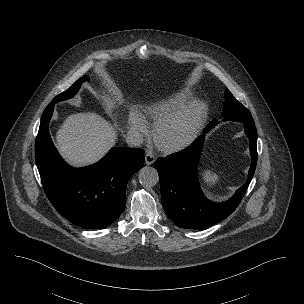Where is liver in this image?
I'll use <instances>...</instances> for the list:
<instances>
[{"label": "liver", "instance_id": "1", "mask_svg": "<svg viewBox=\"0 0 304 304\" xmlns=\"http://www.w3.org/2000/svg\"><path fill=\"white\" fill-rule=\"evenodd\" d=\"M115 128L94 112L69 115L57 132L56 146L73 166L98 161L115 143Z\"/></svg>", "mask_w": 304, "mask_h": 304}]
</instances>
